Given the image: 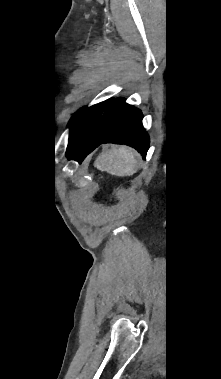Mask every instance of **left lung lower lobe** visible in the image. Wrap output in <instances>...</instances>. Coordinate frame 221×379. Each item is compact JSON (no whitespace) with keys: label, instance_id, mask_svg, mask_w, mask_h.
<instances>
[{"label":"left lung lower lobe","instance_id":"1","mask_svg":"<svg viewBox=\"0 0 221 379\" xmlns=\"http://www.w3.org/2000/svg\"><path fill=\"white\" fill-rule=\"evenodd\" d=\"M108 142L127 144L146 157L149 137L142 126V113L122 98L106 100L89 110L70 136L66 156L81 162Z\"/></svg>","mask_w":221,"mask_h":379}]
</instances>
